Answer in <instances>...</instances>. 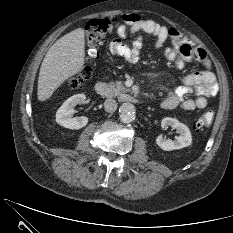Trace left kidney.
<instances>
[{"instance_id": "1", "label": "left kidney", "mask_w": 233, "mask_h": 233, "mask_svg": "<svg viewBox=\"0 0 233 233\" xmlns=\"http://www.w3.org/2000/svg\"><path fill=\"white\" fill-rule=\"evenodd\" d=\"M161 127L166 129L168 127H172L176 129V132L179 136H176L174 140L165 139L162 136H158L156 139V144L165 151L177 150L187 146H190L192 143V136L189 128L180 123L175 118L166 117L161 121Z\"/></svg>"}]
</instances>
